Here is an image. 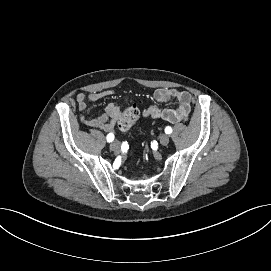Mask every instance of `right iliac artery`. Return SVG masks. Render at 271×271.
Masks as SVG:
<instances>
[{"label": "right iliac artery", "mask_w": 271, "mask_h": 271, "mask_svg": "<svg viewBox=\"0 0 271 271\" xmlns=\"http://www.w3.org/2000/svg\"><path fill=\"white\" fill-rule=\"evenodd\" d=\"M114 140V134L113 133H109L107 135V142H112Z\"/></svg>", "instance_id": "1"}]
</instances>
